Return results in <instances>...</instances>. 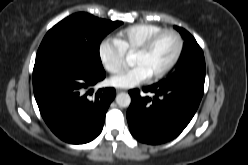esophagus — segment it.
Wrapping results in <instances>:
<instances>
[{"mask_svg": "<svg viewBox=\"0 0 248 165\" xmlns=\"http://www.w3.org/2000/svg\"><path fill=\"white\" fill-rule=\"evenodd\" d=\"M123 91H124L123 89H119V88L116 89V92H117V93H120V92H123Z\"/></svg>", "mask_w": 248, "mask_h": 165, "instance_id": "obj_1", "label": "esophagus"}]
</instances>
